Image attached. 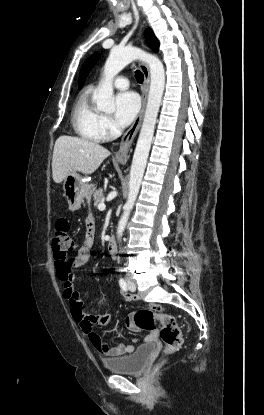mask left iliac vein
I'll return each instance as SVG.
<instances>
[{
    "label": "left iliac vein",
    "mask_w": 264,
    "mask_h": 415,
    "mask_svg": "<svg viewBox=\"0 0 264 415\" xmlns=\"http://www.w3.org/2000/svg\"><path fill=\"white\" fill-rule=\"evenodd\" d=\"M128 288L131 292H134L136 290V286L133 282L128 283Z\"/></svg>",
    "instance_id": "obj_1"
}]
</instances>
